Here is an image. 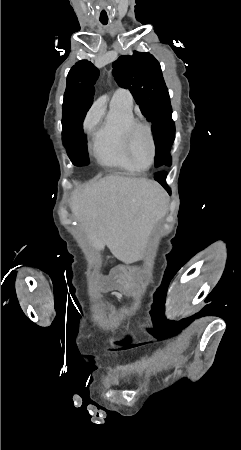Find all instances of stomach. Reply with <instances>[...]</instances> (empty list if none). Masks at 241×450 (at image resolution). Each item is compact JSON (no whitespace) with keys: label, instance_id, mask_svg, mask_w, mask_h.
I'll use <instances>...</instances> for the list:
<instances>
[{"label":"stomach","instance_id":"1","mask_svg":"<svg viewBox=\"0 0 241 450\" xmlns=\"http://www.w3.org/2000/svg\"><path fill=\"white\" fill-rule=\"evenodd\" d=\"M112 281L118 288L124 289L135 286L138 278L134 269L120 266L113 270Z\"/></svg>","mask_w":241,"mask_h":450}]
</instances>
